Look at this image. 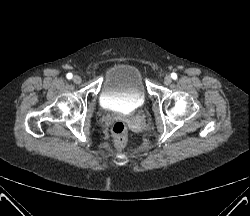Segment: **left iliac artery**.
Wrapping results in <instances>:
<instances>
[{"instance_id": "left-iliac-artery-1", "label": "left iliac artery", "mask_w": 250, "mask_h": 216, "mask_svg": "<svg viewBox=\"0 0 250 216\" xmlns=\"http://www.w3.org/2000/svg\"><path fill=\"white\" fill-rule=\"evenodd\" d=\"M171 77H172L173 79H176V78H177V74H176V73H172V74H171Z\"/></svg>"}]
</instances>
